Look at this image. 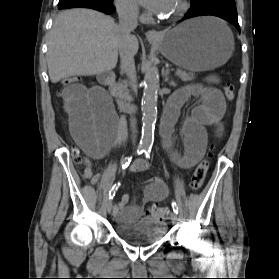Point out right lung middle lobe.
I'll use <instances>...</instances> for the list:
<instances>
[{
	"label": "right lung middle lobe",
	"instance_id": "obj_1",
	"mask_svg": "<svg viewBox=\"0 0 279 279\" xmlns=\"http://www.w3.org/2000/svg\"><path fill=\"white\" fill-rule=\"evenodd\" d=\"M105 1L110 2V3H112V2H113V0H105Z\"/></svg>",
	"mask_w": 279,
	"mask_h": 279
}]
</instances>
